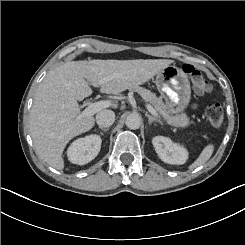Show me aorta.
Wrapping results in <instances>:
<instances>
[{"instance_id":"1","label":"aorta","mask_w":245,"mask_h":245,"mask_svg":"<svg viewBox=\"0 0 245 245\" xmlns=\"http://www.w3.org/2000/svg\"><path fill=\"white\" fill-rule=\"evenodd\" d=\"M125 124L129 129L136 130L141 126V118L137 114H131L127 116Z\"/></svg>"}]
</instances>
